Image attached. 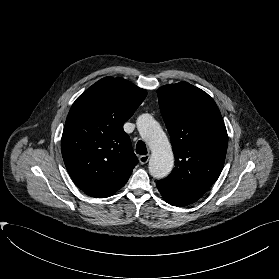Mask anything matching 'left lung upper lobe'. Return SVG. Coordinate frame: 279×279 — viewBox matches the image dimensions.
Here are the masks:
<instances>
[{
  "label": "left lung upper lobe",
  "mask_w": 279,
  "mask_h": 279,
  "mask_svg": "<svg viewBox=\"0 0 279 279\" xmlns=\"http://www.w3.org/2000/svg\"><path fill=\"white\" fill-rule=\"evenodd\" d=\"M161 115L171 137L175 168L162 181L201 197L221 174L228 136L214 100L180 82L157 90Z\"/></svg>",
  "instance_id": "5c2ea615"
}]
</instances>
